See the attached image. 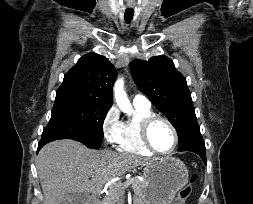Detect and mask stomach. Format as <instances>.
<instances>
[{
	"instance_id": "obj_1",
	"label": "stomach",
	"mask_w": 253,
	"mask_h": 204,
	"mask_svg": "<svg viewBox=\"0 0 253 204\" xmlns=\"http://www.w3.org/2000/svg\"><path fill=\"white\" fill-rule=\"evenodd\" d=\"M144 181L138 194L143 204H171L188 183L185 164L175 157L155 158L143 169Z\"/></svg>"
}]
</instances>
